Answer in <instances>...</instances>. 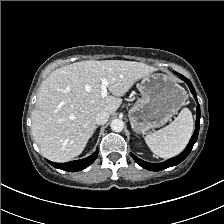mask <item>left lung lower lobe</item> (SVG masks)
<instances>
[{
  "label": "left lung lower lobe",
  "instance_id": "left-lung-lower-lobe-1",
  "mask_svg": "<svg viewBox=\"0 0 224 224\" xmlns=\"http://www.w3.org/2000/svg\"><path fill=\"white\" fill-rule=\"evenodd\" d=\"M177 75L179 76V78H181L182 80H184L195 100L197 101V116H196V127H195V131H194V134L188 144V146L186 147V149L181 153L179 154L178 156L174 157V158H171L163 163H148V162H145L139 158H137L135 155L131 154V156L133 157V159L143 168L147 169V170H151V171H161L165 168H168V167H172V166H175L177 164H179L180 162H182L190 153V151L192 150L193 148V145L195 144V142L197 141V137H198V133H199V121H200V106H199V103H198V100H197V95H196V92L191 84V82L186 78L184 77L183 75L177 73Z\"/></svg>",
  "mask_w": 224,
  "mask_h": 224
}]
</instances>
